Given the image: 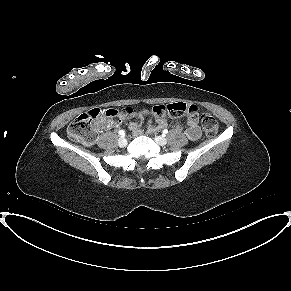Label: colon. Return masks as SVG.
<instances>
[{
    "instance_id": "obj_1",
    "label": "colon",
    "mask_w": 291,
    "mask_h": 291,
    "mask_svg": "<svg viewBox=\"0 0 291 291\" xmlns=\"http://www.w3.org/2000/svg\"><path fill=\"white\" fill-rule=\"evenodd\" d=\"M139 112L138 114H142ZM197 108L194 105L186 103H174L167 106H155L152 109V114L157 118H163L167 116H181L196 114ZM135 114L132 108H125L122 111L114 109L102 110L100 108L91 109L76 119H74L68 126V136L72 140L81 141L86 144H91L95 141L97 132L99 130L100 122L104 118H115L118 116L131 117ZM201 125L204 133L208 137L214 136L218 131V123L216 119L208 114L204 113L200 117Z\"/></svg>"
}]
</instances>
